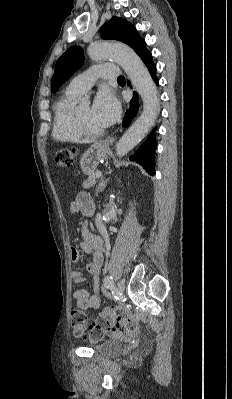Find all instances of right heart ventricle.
<instances>
[{
  "instance_id": "e07e8e85",
  "label": "right heart ventricle",
  "mask_w": 232,
  "mask_h": 399,
  "mask_svg": "<svg viewBox=\"0 0 232 399\" xmlns=\"http://www.w3.org/2000/svg\"><path fill=\"white\" fill-rule=\"evenodd\" d=\"M75 101L76 96L67 94L53 105L52 136L59 142L75 144L84 140V137L76 128L74 121L75 114L71 112V105Z\"/></svg>"
}]
</instances>
